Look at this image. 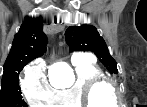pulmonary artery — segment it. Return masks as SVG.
Returning a JSON list of instances; mask_svg holds the SVG:
<instances>
[{"mask_svg": "<svg viewBox=\"0 0 147 107\" xmlns=\"http://www.w3.org/2000/svg\"><path fill=\"white\" fill-rule=\"evenodd\" d=\"M83 56V53H76L72 56V61L82 60Z\"/></svg>", "mask_w": 147, "mask_h": 107, "instance_id": "pulmonary-artery-1", "label": "pulmonary artery"}]
</instances>
